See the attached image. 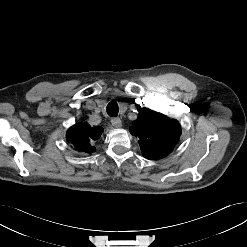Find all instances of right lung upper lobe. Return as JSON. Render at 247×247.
<instances>
[{"label":"right lung upper lobe","instance_id":"right-lung-upper-lobe-1","mask_svg":"<svg viewBox=\"0 0 247 247\" xmlns=\"http://www.w3.org/2000/svg\"><path fill=\"white\" fill-rule=\"evenodd\" d=\"M102 132L103 128L99 126L91 128L87 123L76 124L69 128L67 141L73 144L76 150L91 153L95 148L90 143L98 139Z\"/></svg>","mask_w":247,"mask_h":247}]
</instances>
